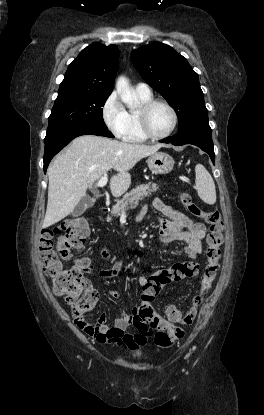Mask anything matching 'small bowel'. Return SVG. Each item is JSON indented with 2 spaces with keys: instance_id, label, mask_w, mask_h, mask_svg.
I'll return each mask as SVG.
<instances>
[{
  "instance_id": "c3829d8e",
  "label": "small bowel",
  "mask_w": 264,
  "mask_h": 415,
  "mask_svg": "<svg viewBox=\"0 0 264 415\" xmlns=\"http://www.w3.org/2000/svg\"><path fill=\"white\" fill-rule=\"evenodd\" d=\"M153 207L163 216L170 218L169 220L161 216L157 217L161 244L164 247H170L174 243H182L184 245V255L189 260H194L202 252V240L206 234V227L201 223L189 221L184 214L173 209L158 198L153 200ZM143 214L144 209L139 212L137 220H140ZM184 228L186 229L185 231L183 230ZM84 270L88 273L97 271L99 276L104 279H115L122 272V262L116 261L110 268H96V264L93 261H87L84 264ZM151 278L145 271L141 272L138 277V284L142 291L145 290ZM109 293L114 299L121 300L120 294L115 290H110ZM136 312L137 309H134L132 314H121L114 325H108L106 323L108 314L104 312L100 315L98 322L93 325L92 330H84L99 343L117 342L128 346L132 351H138L145 344L146 337L137 341L135 339L136 334L131 335L127 332Z\"/></svg>"
}]
</instances>
